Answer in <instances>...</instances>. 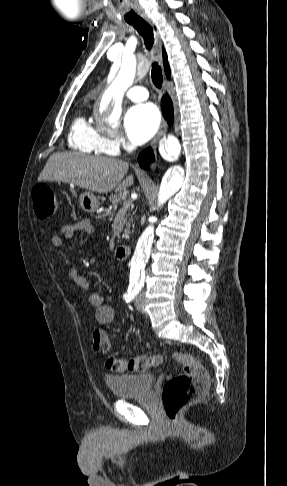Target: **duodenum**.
Masks as SVG:
<instances>
[{"instance_id":"obj_1","label":"duodenum","mask_w":287,"mask_h":486,"mask_svg":"<svg viewBox=\"0 0 287 486\" xmlns=\"http://www.w3.org/2000/svg\"><path fill=\"white\" fill-rule=\"evenodd\" d=\"M131 252V247L129 245H119L115 250V256L118 260L126 259Z\"/></svg>"}]
</instances>
